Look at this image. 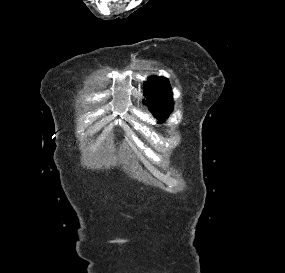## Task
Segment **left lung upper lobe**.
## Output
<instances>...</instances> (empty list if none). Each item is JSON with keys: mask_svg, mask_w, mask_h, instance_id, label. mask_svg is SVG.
I'll return each mask as SVG.
<instances>
[{"mask_svg": "<svg viewBox=\"0 0 285 273\" xmlns=\"http://www.w3.org/2000/svg\"><path fill=\"white\" fill-rule=\"evenodd\" d=\"M144 96L153 115L160 121L166 119L173 110L171 86L165 77H151L144 86Z\"/></svg>", "mask_w": 285, "mask_h": 273, "instance_id": "left-lung-upper-lobe-1", "label": "left lung upper lobe"}]
</instances>
